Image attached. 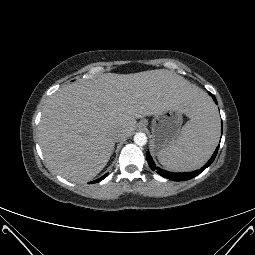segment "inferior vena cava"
Listing matches in <instances>:
<instances>
[{"mask_svg":"<svg viewBox=\"0 0 255 255\" xmlns=\"http://www.w3.org/2000/svg\"><path fill=\"white\" fill-rule=\"evenodd\" d=\"M112 138H113V140L114 141H120V140H122V138H123V134L120 132V131H115V132H113V134H112Z\"/></svg>","mask_w":255,"mask_h":255,"instance_id":"obj_1","label":"inferior vena cava"}]
</instances>
